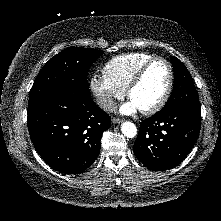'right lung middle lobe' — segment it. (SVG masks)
<instances>
[{
	"mask_svg": "<svg viewBox=\"0 0 221 221\" xmlns=\"http://www.w3.org/2000/svg\"><path fill=\"white\" fill-rule=\"evenodd\" d=\"M103 55L92 48L70 47L52 57L39 72L29 95L28 110L63 89L89 92L87 73L93 62Z\"/></svg>",
	"mask_w": 221,
	"mask_h": 221,
	"instance_id": "dd1d6c3e",
	"label": "right lung middle lobe"
}]
</instances>
